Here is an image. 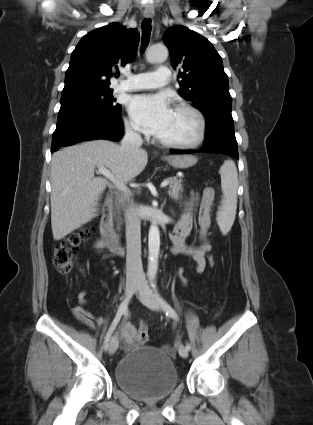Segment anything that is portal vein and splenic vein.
<instances>
[{"instance_id":"obj_1","label":"portal vein and splenic vein","mask_w":313,"mask_h":425,"mask_svg":"<svg viewBox=\"0 0 313 425\" xmlns=\"http://www.w3.org/2000/svg\"><path fill=\"white\" fill-rule=\"evenodd\" d=\"M98 171L99 173L104 175L107 179H109L121 192H123L124 194L130 193V190L122 182L116 179V177L111 173L109 169H107L104 166H99ZM168 184H169V181L165 180L161 183V187L164 188Z\"/></svg>"}]
</instances>
